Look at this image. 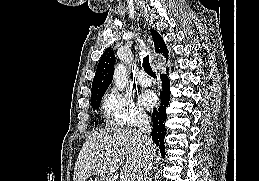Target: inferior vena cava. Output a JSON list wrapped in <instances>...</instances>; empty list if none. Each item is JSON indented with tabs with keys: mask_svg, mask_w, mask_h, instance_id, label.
<instances>
[{
	"mask_svg": "<svg viewBox=\"0 0 259 181\" xmlns=\"http://www.w3.org/2000/svg\"><path fill=\"white\" fill-rule=\"evenodd\" d=\"M139 134L143 141V160L140 170L136 176V181H149V174L152 168L153 158L149 151L151 126L146 116H142L138 122Z\"/></svg>",
	"mask_w": 259,
	"mask_h": 181,
	"instance_id": "602c4592",
	"label": "inferior vena cava"
}]
</instances>
